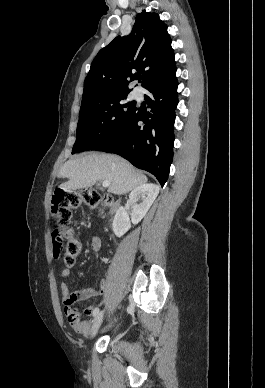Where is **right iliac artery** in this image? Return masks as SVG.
Returning <instances> with one entry per match:
<instances>
[{
    "label": "right iliac artery",
    "mask_w": 265,
    "mask_h": 388,
    "mask_svg": "<svg viewBox=\"0 0 265 388\" xmlns=\"http://www.w3.org/2000/svg\"><path fill=\"white\" fill-rule=\"evenodd\" d=\"M98 314H99V308H96V309L93 311V317H96Z\"/></svg>",
    "instance_id": "right-iliac-artery-1"
}]
</instances>
